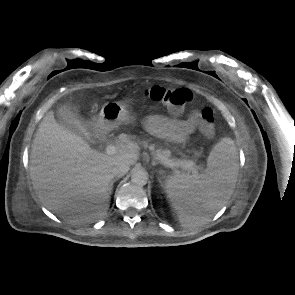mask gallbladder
I'll use <instances>...</instances> for the list:
<instances>
[{
  "instance_id": "gallbladder-1",
  "label": "gallbladder",
  "mask_w": 295,
  "mask_h": 295,
  "mask_svg": "<svg viewBox=\"0 0 295 295\" xmlns=\"http://www.w3.org/2000/svg\"><path fill=\"white\" fill-rule=\"evenodd\" d=\"M56 116L60 125L72 132L80 133L78 124L81 123V116L76 110L69 106H61L58 108Z\"/></svg>"
}]
</instances>
